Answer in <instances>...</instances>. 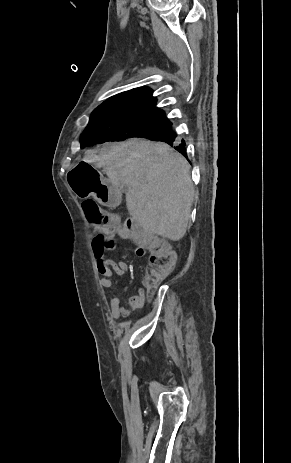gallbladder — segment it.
Listing matches in <instances>:
<instances>
[{
	"label": "gallbladder",
	"instance_id": "bac80fb5",
	"mask_svg": "<svg viewBox=\"0 0 291 463\" xmlns=\"http://www.w3.org/2000/svg\"><path fill=\"white\" fill-rule=\"evenodd\" d=\"M123 191H127V188H124Z\"/></svg>",
	"mask_w": 291,
	"mask_h": 463
}]
</instances>
